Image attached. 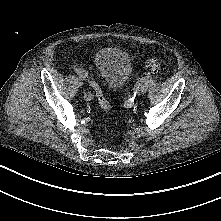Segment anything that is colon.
Masks as SVG:
<instances>
[{
    "label": "colon",
    "instance_id": "colon-1",
    "mask_svg": "<svg viewBox=\"0 0 221 221\" xmlns=\"http://www.w3.org/2000/svg\"><path fill=\"white\" fill-rule=\"evenodd\" d=\"M145 65L149 67L154 73H158L161 69V61L156 57H150L146 59ZM91 85L96 91L97 101H98L100 108L106 113L109 112L111 107L103 92V89L98 84V82H96L93 79H91Z\"/></svg>",
    "mask_w": 221,
    "mask_h": 221
}]
</instances>
